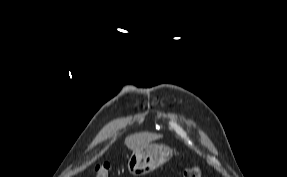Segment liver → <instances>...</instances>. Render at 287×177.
<instances>
[{
  "label": "liver",
  "instance_id": "6515ba94",
  "mask_svg": "<svg viewBox=\"0 0 287 177\" xmlns=\"http://www.w3.org/2000/svg\"><path fill=\"white\" fill-rule=\"evenodd\" d=\"M160 137H161L160 135L147 132L136 133L128 136L125 139V144L129 149L135 150L137 148L149 144L153 140L159 139Z\"/></svg>",
  "mask_w": 287,
  "mask_h": 177
}]
</instances>
